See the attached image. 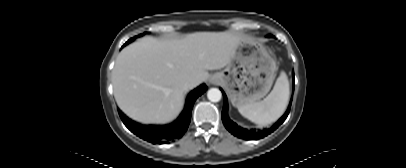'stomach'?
<instances>
[{
	"instance_id": "1",
	"label": "stomach",
	"mask_w": 406,
	"mask_h": 168,
	"mask_svg": "<svg viewBox=\"0 0 406 168\" xmlns=\"http://www.w3.org/2000/svg\"><path fill=\"white\" fill-rule=\"evenodd\" d=\"M277 70L274 54L255 41H243L224 70L212 79L227 92L233 106L258 102L270 91Z\"/></svg>"
}]
</instances>
